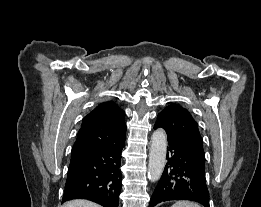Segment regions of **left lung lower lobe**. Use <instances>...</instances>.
<instances>
[{"label":"left lung lower lobe","instance_id":"0a47b994","mask_svg":"<svg viewBox=\"0 0 261 207\" xmlns=\"http://www.w3.org/2000/svg\"><path fill=\"white\" fill-rule=\"evenodd\" d=\"M157 128L161 127L155 124L154 129ZM167 139L168 163L153 192L149 207L169 200H191L210 207L205 163L194 158L172 138Z\"/></svg>","mask_w":261,"mask_h":207}]
</instances>
